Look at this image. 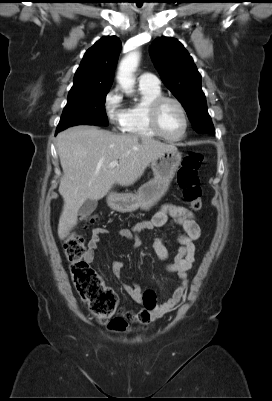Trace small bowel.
I'll return each instance as SVG.
<instances>
[{"label":"small bowel","instance_id":"c3829d8e","mask_svg":"<svg viewBox=\"0 0 272 401\" xmlns=\"http://www.w3.org/2000/svg\"><path fill=\"white\" fill-rule=\"evenodd\" d=\"M169 224L178 225L182 228V232L175 235L178 247L175 250L173 260L166 266L169 272L177 275L180 284L170 298L152 310L123 311L119 317L113 319L110 323V328L116 333H129L128 323L145 326L149 322L164 316L173 310L185 296L188 285V272L195 261V243L201 236V228L190 210L172 203L164 204L152 218L137 222L130 227L121 228L118 230V235L126 239L131 246L138 247L141 244V233L161 229ZM107 233L108 230L102 227L92 230L88 249L84 256L87 262L91 263L94 260L101 236ZM153 250L160 260L166 261L169 258V250L162 238L155 239ZM123 267L124 263L122 261L113 263L112 272L115 277L120 278ZM123 288L134 302H142L141 288L137 284H123Z\"/></svg>","mask_w":272,"mask_h":401}]
</instances>
